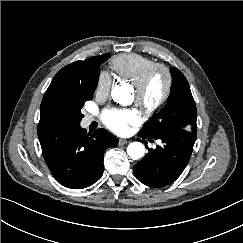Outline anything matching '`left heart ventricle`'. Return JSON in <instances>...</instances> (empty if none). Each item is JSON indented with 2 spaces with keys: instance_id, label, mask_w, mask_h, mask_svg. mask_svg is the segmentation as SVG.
<instances>
[{
  "instance_id": "left-heart-ventricle-1",
  "label": "left heart ventricle",
  "mask_w": 243,
  "mask_h": 243,
  "mask_svg": "<svg viewBox=\"0 0 243 243\" xmlns=\"http://www.w3.org/2000/svg\"><path fill=\"white\" fill-rule=\"evenodd\" d=\"M165 86V76L161 71L155 72L149 82L147 91H146V99L148 101L155 100L163 91ZM135 98V93L133 94Z\"/></svg>"
}]
</instances>
